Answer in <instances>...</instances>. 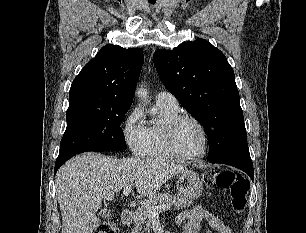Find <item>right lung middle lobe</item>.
Returning a JSON list of instances; mask_svg holds the SVG:
<instances>
[{"label": "right lung middle lobe", "instance_id": "obj_1", "mask_svg": "<svg viewBox=\"0 0 306 233\" xmlns=\"http://www.w3.org/2000/svg\"><path fill=\"white\" fill-rule=\"evenodd\" d=\"M130 105L95 104L81 101L69 104L67 127L57 160L88 151L125 150L120 127Z\"/></svg>", "mask_w": 306, "mask_h": 233}]
</instances>
